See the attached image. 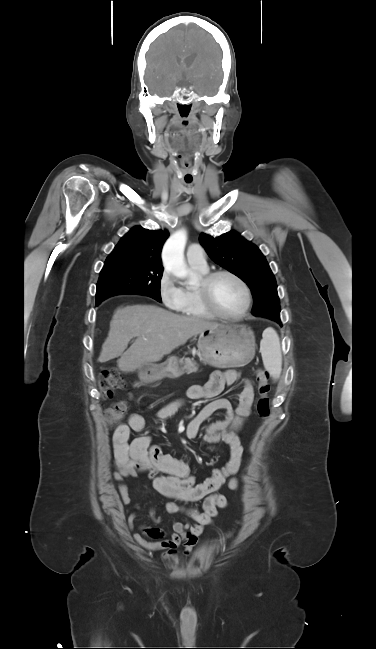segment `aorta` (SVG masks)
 Wrapping results in <instances>:
<instances>
[{
	"label": "aorta",
	"mask_w": 376,
	"mask_h": 649,
	"mask_svg": "<svg viewBox=\"0 0 376 649\" xmlns=\"http://www.w3.org/2000/svg\"><path fill=\"white\" fill-rule=\"evenodd\" d=\"M187 234L184 230L174 233L165 243L162 252V261L165 269L178 278H187L189 282L195 279L194 273L189 271L184 261V249Z\"/></svg>",
	"instance_id": "1"
}]
</instances>
